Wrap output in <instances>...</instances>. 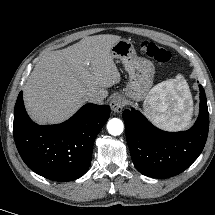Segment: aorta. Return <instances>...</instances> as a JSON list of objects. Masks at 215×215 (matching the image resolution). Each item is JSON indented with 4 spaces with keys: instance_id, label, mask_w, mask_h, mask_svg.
I'll return each mask as SVG.
<instances>
[{
    "instance_id": "762f6f07",
    "label": "aorta",
    "mask_w": 215,
    "mask_h": 215,
    "mask_svg": "<svg viewBox=\"0 0 215 215\" xmlns=\"http://www.w3.org/2000/svg\"><path fill=\"white\" fill-rule=\"evenodd\" d=\"M108 132L113 136H118L123 132V122L118 118H113L108 121L107 124Z\"/></svg>"
}]
</instances>
